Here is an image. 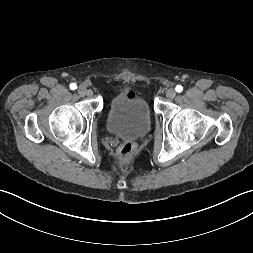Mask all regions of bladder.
Returning <instances> with one entry per match:
<instances>
[{
	"label": "bladder",
	"mask_w": 253,
	"mask_h": 253,
	"mask_svg": "<svg viewBox=\"0 0 253 253\" xmlns=\"http://www.w3.org/2000/svg\"><path fill=\"white\" fill-rule=\"evenodd\" d=\"M152 117L147 101L135 91L122 90L110 101L106 127L114 136L135 140L151 129Z\"/></svg>",
	"instance_id": "obj_1"
}]
</instances>
